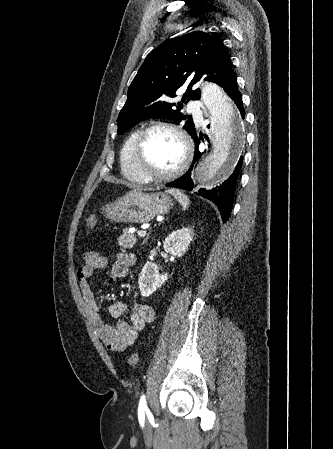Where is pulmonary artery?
<instances>
[{
    "label": "pulmonary artery",
    "instance_id": "obj_1",
    "mask_svg": "<svg viewBox=\"0 0 333 449\" xmlns=\"http://www.w3.org/2000/svg\"><path fill=\"white\" fill-rule=\"evenodd\" d=\"M189 107H190L191 109H193V108H194V103L191 102L190 105H189Z\"/></svg>",
    "mask_w": 333,
    "mask_h": 449
}]
</instances>
